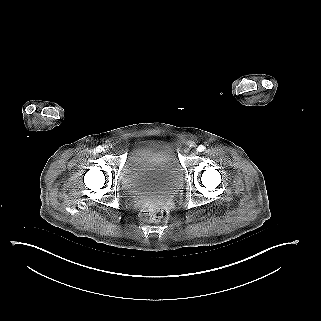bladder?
Listing matches in <instances>:
<instances>
[{
    "label": "bladder",
    "mask_w": 321,
    "mask_h": 321,
    "mask_svg": "<svg viewBox=\"0 0 321 321\" xmlns=\"http://www.w3.org/2000/svg\"><path fill=\"white\" fill-rule=\"evenodd\" d=\"M183 168L174 145L160 139L136 141L120 172L123 191L134 199L169 196L183 183Z\"/></svg>",
    "instance_id": "31cf9c89"
}]
</instances>
